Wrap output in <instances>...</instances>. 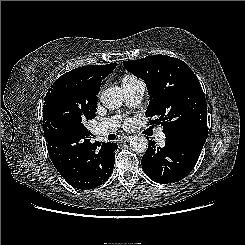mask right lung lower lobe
Here are the masks:
<instances>
[{
  "label": "right lung lower lobe",
  "mask_w": 245,
  "mask_h": 245,
  "mask_svg": "<svg viewBox=\"0 0 245 245\" xmlns=\"http://www.w3.org/2000/svg\"><path fill=\"white\" fill-rule=\"evenodd\" d=\"M116 143H91L90 140L73 145L68 140L47 141V149L57 171L74 188L92 189L100 186L112 174Z\"/></svg>",
  "instance_id": "1"
}]
</instances>
